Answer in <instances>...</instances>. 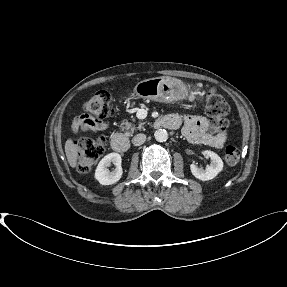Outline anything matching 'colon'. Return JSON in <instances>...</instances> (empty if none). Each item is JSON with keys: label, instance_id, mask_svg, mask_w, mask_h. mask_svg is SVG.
<instances>
[{"label": "colon", "instance_id": "obj_1", "mask_svg": "<svg viewBox=\"0 0 287 287\" xmlns=\"http://www.w3.org/2000/svg\"><path fill=\"white\" fill-rule=\"evenodd\" d=\"M87 116L90 118H109L115 114L112 97L106 90H100L93 94L84 104ZM230 107L223 96L216 89H211L206 95V114L211 119L213 132H225L228 127L226 119ZM78 150V170L86 173L92 169L105 151V138H81L76 141ZM225 160L234 165L240 160V150L233 145L225 148Z\"/></svg>", "mask_w": 287, "mask_h": 287}]
</instances>
